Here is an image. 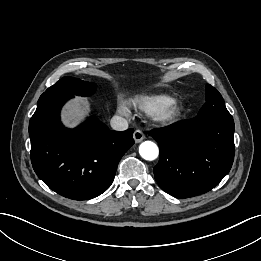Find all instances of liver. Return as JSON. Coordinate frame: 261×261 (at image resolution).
Returning <instances> with one entry per match:
<instances>
[{"label":"liver","instance_id":"6515ba94","mask_svg":"<svg viewBox=\"0 0 261 261\" xmlns=\"http://www.w3.org/2000/svg\"><path fill=\"white\" fill-rule=\"evenodd\" d=\"M85 114L84 108L79 100L70 101L62 111L61 117L63 123L68 127H73L83 118Z\"/></svg>","mask_w":261,"mask_h":261}]
</instances>
